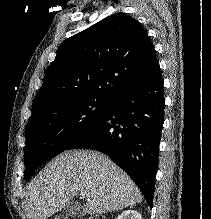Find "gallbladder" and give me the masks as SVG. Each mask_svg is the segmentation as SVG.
I'll return each instance as SVG.
<instances>
[{
	"mask_svg": "<svg viewBox=\"0 0 211 219\" xmlns=\"http://www.w3.org/2000/svg\"><path fill=\"white\" fill-rule=\"evenodd\" d=\"M63 209L69 215H81L83 213L82 207L75 201L68 202Z\"/></svg>",
	"mask_w": 211,
	"mask_h": 219,
	"instance_id": "obj_1",
	"label": "gallbladder"
}]
</instances>
